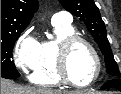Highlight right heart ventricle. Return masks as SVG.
<instances>
[{
  "instance_id": "1",
  "label": "right heart ventricle",
  "mask_w": 121,
  "mask_h": 94,
  "mask_svg": "<svg viewBox=\"0 0 121 94\" xmlns=\"http://www.w3.org/2000/svg\"><path fill=\"white\" fill-rule=\"evenodd\" d=\"M53 31V39L38 44L36 61L30 75L31 82L39 86L58 87L64 84L56 70L57 46L63 38L75 34V30L70 23L53 22Z\"/></svg>"
}]
</instances>
